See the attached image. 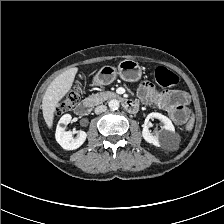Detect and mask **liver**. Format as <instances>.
I'll return each instance as SVG.
<instances>
[{"label":"liver","mask_w":224,"mask_h":224,"mask_svg":"<svg viewBox=\"0 0 224 224\" xmlns=\"http://www.w3.org/2000/svg\"><path fill=\"white\" fill-rule=\"evenodd\" d=\"M78 68H71L58 75L48 86L42 101L44 120L49 128L53 125L55 109L59 101L70 91Z\"/></svg>","instance_id":"obj_1"}]
</instances>
